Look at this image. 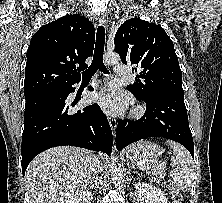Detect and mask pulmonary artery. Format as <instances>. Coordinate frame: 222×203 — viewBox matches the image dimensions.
Listing matches in <instances>:
<instances>
[{
  "mask_svg": "<svg viewBox=\"0 0 222 203\" xmlns=\"http://www.w3.org/2000/svg\"><path fill=\"white\" fill-rule=\"evenodd\" d=\"M114 72H115V75L116 76H120V77H123V76H127L128 73H129V69L126 65L124 64H117L115 67H114Z\"/></svg>",
  "mask_w": 222,
  "mask_h": 203,
  "instance_id": "obj_1",
  "label": "pulmonary artery"
}]
</instances>
